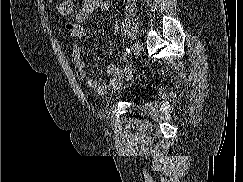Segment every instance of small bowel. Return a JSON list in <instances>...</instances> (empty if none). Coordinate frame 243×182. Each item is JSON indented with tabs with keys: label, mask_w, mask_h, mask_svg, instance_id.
<instances>
[{
	"label": "small bowel",
	"mask_w": 243,
	"mask_h": 182,
	"mask_svg": "<svg viewBox=\"0 0 243 182\" xmlns=\"http://www.w3.org/2000/svg\"><path fill=\"white\" fill-rule=\"evenodd\" d=\"M109 8L108 0H84L80 9L74 16L66 22V30L72 39V61L77 78L84 82L90 89L100 95H105L110 91L118 90L123 80L131 70V65L119 67L115 63L107 66L109 78L100 82L95 77L89 75L87 71L88 63L81 54V41L85 37L83 22L92 14L98 11H106ZM112 51V49H111ZM98 66L97 63H95Z\"/></svg>",
	"instance_id": "c3829d8e"
}]
</instances>
